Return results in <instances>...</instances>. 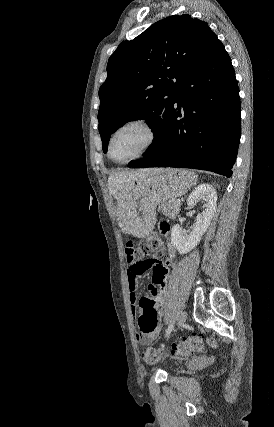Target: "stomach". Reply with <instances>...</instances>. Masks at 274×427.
<instances>
[{"mask_svg": "<svg viewBox=\"0 0 274 427\" xmlns=\"http://www.w3.org/2000/svg\"><path fill=\"white\" fill-rule=\"evenodd\" d=\"M196 182L194 172L176 168H160L144 180L134 176L127 198L118 202V215L124 229L136 237H145L154 229L156 206L183 196Z\"/></svg>", "mask_w": 274, "mask_h": 427, "instance_id": "stomach-1", "label": "stomach"}]
</instances>
